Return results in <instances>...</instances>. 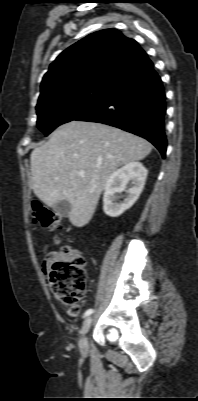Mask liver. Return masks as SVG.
<instances>
[{"label":"liver","instance_id":"obj_1","mask_svg":"<svg viewBox=\"0 0 198 401\" xmlns=\"http://www.w3.org/2000/svg\"><path fill=\"white\" fill-rule=\"evenodd\" d=\"M152 150L145 139L109 125L70 121L30 156L31 187L48 206L71 204L77 227L92 218L108 178L120 166L144 159ZM84 171V177L78 175Z\"/></svg>","mask_w":198,"mask_h":401}]
</instances>
